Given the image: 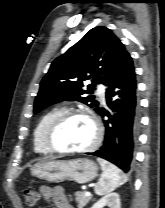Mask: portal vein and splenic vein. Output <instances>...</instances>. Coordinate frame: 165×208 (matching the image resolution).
I'll return each instance as SVG.
<instances>
[{"instance_id":"1","label":"portal vein and splenic vein","mask_w":165,"mask_h":208,"mask_svg":"<svg viewBox=\"0 0 165 208\" xmlns=\"http://www.w3.org/2000/svg\"><path fill=\"white\" fill-rule=\"evenodd\" d=\"M85 195H86V196H90L91 193H90L89 191H86V192H85Z\"/></svg>"}]
</instances>
